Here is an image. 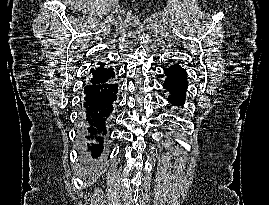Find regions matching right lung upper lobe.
Listing matches in <instances>:
<instances>
[{"label":"right lung upper lobe","mask_w":269,"mask_h":205,"mask_svg":"<svg viewBox=\"0 0 269 205\" xmlns=\"http://www.w3.org/2000/svg\"><path fill=\"white\" fill-rule=\"evenodd\" d=\"M99 67L92 68L90 70V78L88 82L90 84H103L113 80L115 74L112 67H105V63H98Z\"/></svg>","instance_id":"1"}]
</instances>
